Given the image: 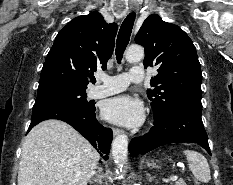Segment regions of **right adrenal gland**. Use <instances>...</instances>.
<instances>
[{"instance_id": "2a0ac1e0", "label": "right adrenal gland", "mask_w": 233, "mask_h": 185, "mask_svg": "<svg viewBox=\"0 0 233 185\" xmlns=\"http://www.w3.org/2000/svg\"><path fill=\"white\" fill-rule=\"evenodd\" d=\"M102 168L101 167H97V172H94V174L92 175V179L89 181L90 184H92L93 182H97L98 184H102Z\"/></svg>"}]
</instances>
